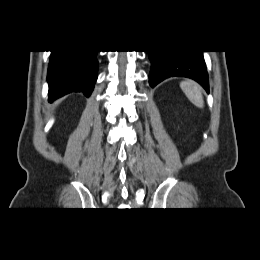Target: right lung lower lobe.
<instances>
[{
	"label": "right lung lower lobe",
	"instance_id": "right-lung-lower-lobe-1",
	"mask_svg": "<svg viewBox=\"0 0 260 260\" xmlns=\"http://www.w3.org/2000/svg\"><path fill=\"white\" fill-rule=\"evenodd\" d=\"M98 51H52L47 81L49 101L71 92L89 97L97 80Z\"/></svg>",
	"mask_w": 260,
	"mask_h": 260
}]
</instances>
